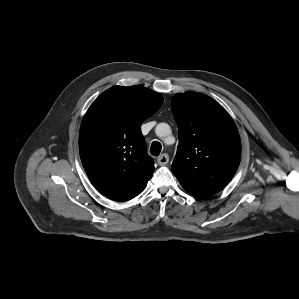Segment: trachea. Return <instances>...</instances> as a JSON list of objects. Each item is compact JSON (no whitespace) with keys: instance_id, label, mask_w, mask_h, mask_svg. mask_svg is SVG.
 Instances as JSON below:
<instances>
[{"instance_id":"trachea-1","label":"trachea","mask_w":299,"mask_h":299,"mask_svg":"<svg viewBox=\"0 0 299 299\" xmlns=\"http://www.w3.org/2000/svg\"><path fill=\"white\" fill-rule=\"evenodd\" d=\"M162 146L158 141H153L150 148V153L153 156H159Z\"/></svg>"}]
</instances>
